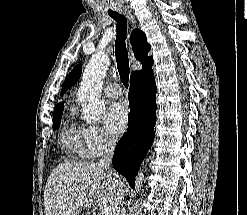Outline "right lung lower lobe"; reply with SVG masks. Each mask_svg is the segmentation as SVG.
<instances>
[{
  "label": "right lung lower lobe",
  "mask_w": 247,
  "mask_h": 215,
  "mask_svg": "<svg viewBox=\"0 0 247 215\" xmlns=\"http://www.w3.org/2000/svg\"><path fill=\"white\" fill-rule=\"evenodd\" d=\"M153 61L130 77L128 130L119 140L112 159L113 167L134 188L135 176L154 140L156 123V84Z\"/></svg>",
  "instance_id": "98d812e1"
}]
</instances>
